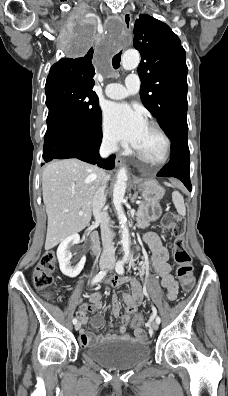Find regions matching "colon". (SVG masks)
I'll return each instance as SVG.
<instances>
[{
    "mask_svg": "<svg viewBox=\"0 0 228 396\" xmlns=\"http://www.w3.org/2000/svg\"><path fill=\"white\" fill-rule=\"evenodd\" d=\"M165 228L172 231L175 236L174 260L177 264V276L185 290L191 289L194 283L192 256L186 247L184 234V219L174 213H169L163 218ZM56 267V257L52 252H45L40 257L39 262L33 271V283L36 289L45 291L46 297H51L49 291L53 283V272ZM132 326L142 329V318L140 316L132 318Z\"/></svg>",
    "mask_w": 228,
    "mask_h": 396,
    "instance_id": "colon-1",
    "label": "colon"
}]
</instances>
